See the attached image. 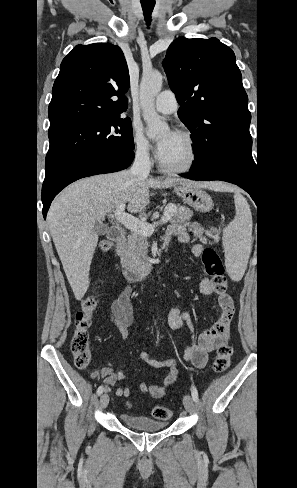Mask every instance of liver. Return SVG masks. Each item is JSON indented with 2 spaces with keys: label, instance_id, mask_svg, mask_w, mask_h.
Returning a JSON list of instances; mask_svg holds the SVG:
<instances>
[{
  "label": "liver",
  "instance_id": "1",
  "mask_svg": "<svg viewBox=\"0 0 297 488\" xmlns=\"http://www.w3.org/2000/svg\"><path fill=\"white\" fill-rule=\"evenodd\" d=\"M175 185L218 188L216 183L201 184L173 177L160 180L124 170L79 180L55 198L47 221L76 300H81L89 288L90 265L98 243L96 222L121 204H127L131 213H142L150 204V188Z\"/></svg>",
  "mask_w": 297,
  "mask_h": 488
}]
</instances>
